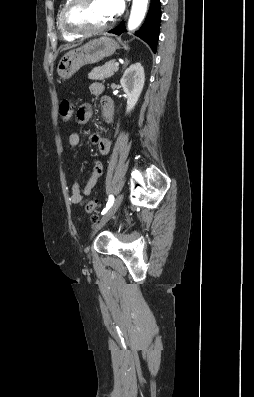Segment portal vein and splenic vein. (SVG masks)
<instances>
[{"instance_id": "obj_1", "label": "portal vein and splenic vein", "mask_w": 254, "mask_h": 397, "mask_svg": "<svg viewBox=\"0 0 254 397\" xmlns=\"http://www.w3.org/2000/svg\"><path fill=\"white\" fill-rule=\"evenodd\" d=\"M114 66L118 67L119 66V62L115 61L114 62Z\"/></svg>"}]
</instances>
